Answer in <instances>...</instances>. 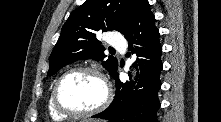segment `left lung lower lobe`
I'll use <instances>...</instances> for the list:
<instances>
[{
	"instance_id": "left-lung-lower-lobe-1",
	"label": "left lung lower lobe",
	"mask_w": 221,
	"mask_h": 122,
	"mask_svg": "<svg viewBox=\"0 0 221 122\" xmlns=\"http://www.w3.org/2000/svg\"><path fill=\"white\" fill-rule=\"evenodd\" d=\"M124 37L129 42L128 49L138 57L136 63L139 71L136 78L139 80L136 90L123 84L116 72L113 76L116 83L113 102L106 110L93 117L111 122H157L162 47L159 42V31L155 27V17L147 0H138L136 3Z\"/></svg>"
}]
</instances>
